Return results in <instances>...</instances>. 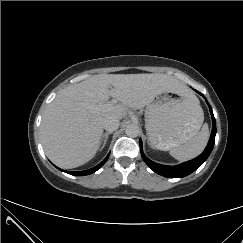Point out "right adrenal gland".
<instances>
[{
	"instance_id": "2a0ac1e0",
	"label": "right adrenal gland",
	"mask_w": 243,
	"mask_h": 243,
	"mask_svg": "<svg viewBox=\"0 0 243 243\" xmlns=\"http://www.w3.org/2000/svg\"><path fill=\"white\" fill-rule=\"evenodd\" d=\"M112 133H113V132H106V133L103 134V136H102V138H101L102 146H101V148H100V151L105 147L106 142H107V140H108V136H109L110 134H112Z\"/></svg>"
}]
</instances>
